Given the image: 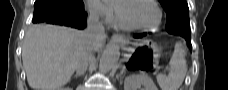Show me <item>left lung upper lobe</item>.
Returning a JSON list of instances; mask_svg holds the SVG:
<instances>
[{
	"mask_svg": "<svg viewBox=\"0 0 228 90\" xmlns=\"http://www.w3.org/2000/svg\"><path fill=\"white\" fill-rule=\"evenodd\" d=\"M167 14V29L190 32L189 8L186 0H159Z\"/></svg>",
	"mask_w": 228,
	"mask_h": 90,
	"instance_id": "obj_1",
	"label": "left lung upper lobe"
}]
</instances>
